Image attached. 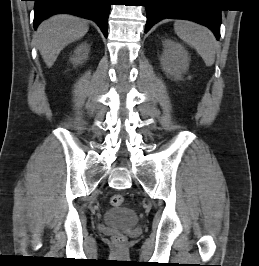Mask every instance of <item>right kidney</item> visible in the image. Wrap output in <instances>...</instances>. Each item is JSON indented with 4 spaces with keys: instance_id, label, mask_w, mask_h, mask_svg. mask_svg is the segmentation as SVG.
<instances>
[{
    "instance_id": "1",
    "label": "right kidney",
    "mask_w": 259,
    "mask_h": 266,
    "mask_svg": "<svg viewBox=\"0 0 259 266\" xmlns=\"http://www.w3.org/2000/svg\"><path fill=\"white\" fill-rule=\"evenodd\" d=\"M88 52L89 45L87 43H82L75 49L71 62L75 65L83 63V61L88 57Z\"/></svg>"
}]
</instances>
